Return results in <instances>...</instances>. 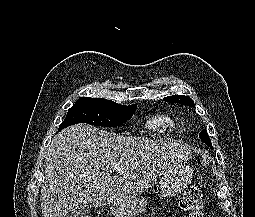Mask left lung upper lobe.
<instances>
[{
    "instance_id": "left-lung-upper-lobe-1",
    "label": "left lung upper lobe",
    "mask_w": 255,
    "mask_h": 217,
    "mask_svg": "<svg viewBox=\"0 0 255 217\" xmlns=\"http://www.w3.org/2000/svg\"><path fill=\"white\" fill-rule=\"evenodd\" d=\"M164 100L168 101V102H173V103H179V104H184V105H188V106H191V107H194V102L191 98H189L188 96H183V95H173V96H168V97H165ZM199 137L200 139L206 144L208 145L209 147L213 148L212 147V144H211V140L207 134V131L206 130H202L200 133H199Z\"/></svg>"
}]
</instances>
